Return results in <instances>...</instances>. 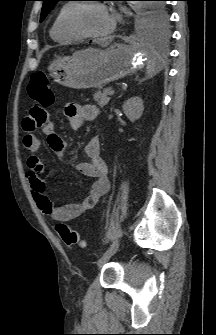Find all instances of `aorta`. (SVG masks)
Listing matches in <instances>:
<instances>
[{
  "mask_svg": "<svg viewBox=\"0 0 216 335\" xmlns=\"http://www.w3.org/2000/svg\"><path fill=\"white\" fill-rule=\"evenodd\" d=\"M134 5H135V9H136V11H139L140 6H141L140 3H135Z\"/></svg>",
  "mask_w": 216,
  "mask_h": 335,
  "instance_id": "obj_1",
  "label": "aorta"
}]
</instances>
